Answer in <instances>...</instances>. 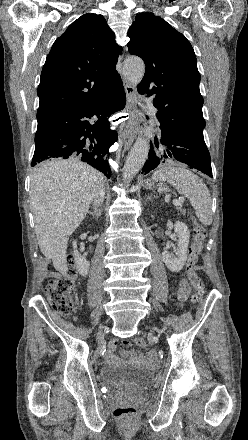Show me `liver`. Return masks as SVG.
I'll return each mask as SVG.
<instances>
[{
    "label": "liver",
    "mask_w": 248,
    "mask_h": 440,
    "mask_svg": "<svg viewBox=\"0 0 248 440\" xmlns=\"http://www.w3.org/2000/svg\"><path fill=\"white\" fill-rule=\"evenodd\" d=\"M103 178L102 173L76 158L53 159L33 170L30 204L38 244L61 274L67 272L69 237L84 220Z\"/></svg>",
    "instance_id": "obj_1"
}]
</instances>
